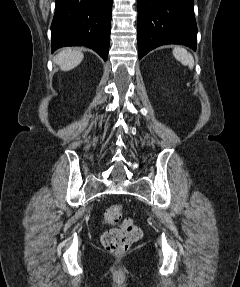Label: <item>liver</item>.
Segmentation results:
<instances>
[{"label": "liver", "instance_id": "1", "mask_svg": "<svg viewBox=\"0 0 240 287\" xmlns=\"http://www.w3.org/2000/svg\"><path fill=\"white\" fill-rule=\"evenodd\" d=\"M83 57V53L79 50L64 48L54 58V62L61 67V70L69 71L77 67L83 60Z\"/></svg>", "mask_w": 240, "mask_h": 287}]
</instances>
